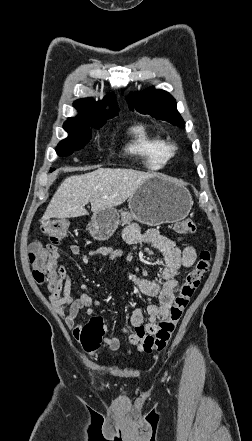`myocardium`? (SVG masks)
Here are the masks:
<instances>
[{"label":"myocardium","mask_w":252,"mask_h":441,"mask_svg":"<svg viewBox=\"0 0 252 441\" xmlns=\"http://www.w3.org/2000/svg\"><path fill=\"white\" fill-rule=\"evenodd\" d=\"M164 152L169 159L173 158L178 152V146L173 142H166Z\"/></svg>","instance_id":"myocardium-1"}]
</instances>
